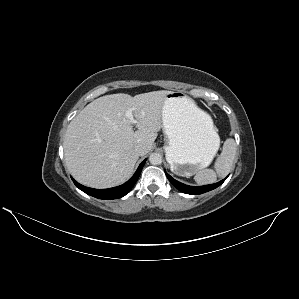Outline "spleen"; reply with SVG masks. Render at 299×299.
I'll list each match as a JSON object with an SVG mask.
<instances>
[{"instance_id": "3e777b00", "label": "spleen", "mask_w": 299, "mask_h": 299, "mask_svg": "<svg viewBox=\"0 0 299 299\" xmlns=\"http://www.w3.org/2000/svg\"><path fill=\"white\" fill-rule=\"evenodd\" d=\"M236 143L232 138L226 139L223 149L215 162V170L203 169L196 173L194 179L199 185L215 183L217 177H225L231 170L236 154Z\"/></svg>"}]
</instances>
